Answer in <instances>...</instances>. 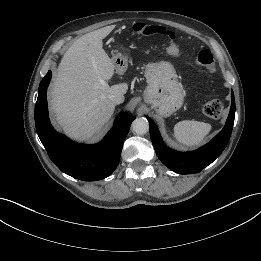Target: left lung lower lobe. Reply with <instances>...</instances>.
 Masks as SVG:
<instances>
[{
	"mask_svg": "<svg viewBox=\"0 0 261 261\" xmlns=\"http://www.w3.org/2000/svg\"><path fill=\"white\" fill-rule=\"evenodd\" d=\"M232 103L224 128L206 145L190 152H177L168 148L160 136L157 126L148 118L150 137L158 158L169 169L180 174L198 173L211 164L225 149L234 124L235 99L231 93Z\"/></svg>",
	"mask_w": 261,
	"mask_h": 261,
	"instance_id": "1",
	"label": "left lung lower lobe"
}]
</instances>
